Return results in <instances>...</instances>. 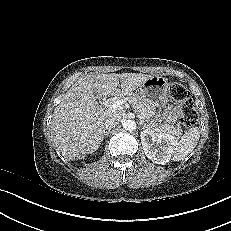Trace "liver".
I'll list each match as a JSON object with an SVG mask.
<instances>
[{"label":"liver","instance_id":"6515ba94","mask_svg":"<svg viewBox=\"0 0 231 231\" xmlns=\"http://www.w3.org/2000/svg\"><path fill=\"white\" fill-rule=\"evenodd\" d=\"M150 77L142 73L88 74L80 77L54 109L51 134L57 151L67 160L81 159L95 152L106 133L104 121L110 116L99 110L95 93L101 96L129 94Z\"/></svg>","mask_w":231,"mask_h":231}]
</instances>
